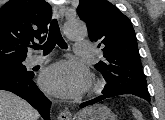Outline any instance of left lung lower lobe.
I'll list each match as a JSON object with an SVG mask.
<instances>
[{
	"label": "left lung lower lobe",
	"mask_w": 165,
	"mask_h": 120,
	"mask_svg": "<svg viewBox=\"0 0 165 120\" xmlns=\"http://www.w3.org/2000/svg\"><path fill=\"white\" fill-rule=\"evenodd\" d=\"M113 96H116V95H108V94H104V95H101L95 99H92L90 101H87V102H83L81 105H80V108H84L88 105H92V104H95L99 101H102L104 100L105 98H108V97H113ZM142 98V97H141ZM145 100H147L148 102H150V99H147V98H144Z\"/></svg>",
	"instance_id": "0a47b994"
}]
</instances>
